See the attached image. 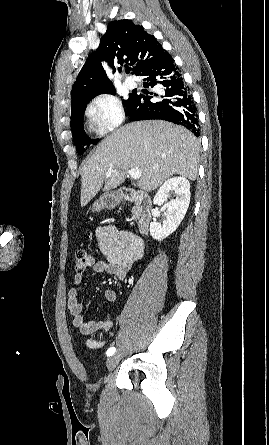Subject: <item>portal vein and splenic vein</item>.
I'll return each instance as SVG.
<instances>
[{"mask_svg":"<svg viewBox=\"0 0 269 445\" xmlns=\"http://www.w3.org/2000/svg\"><path fill=\"white\" fill-rule=\"evenodd\" d=\"M114 172H115V170H113V169L108 170L106 175L108 177H110ZM127 172L131 176V178L134 179V180L139 179L141 177V174H142L141 170L138 169V168H136V169H129V170H127Z\"/></svg>","mask_w":269,"mask_h":445,"instance_id":"18ae733b","label":"portal vein and splenic vein"}]
</instances>
